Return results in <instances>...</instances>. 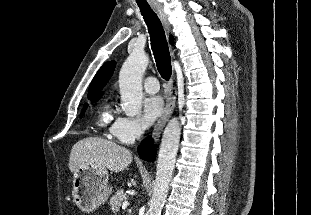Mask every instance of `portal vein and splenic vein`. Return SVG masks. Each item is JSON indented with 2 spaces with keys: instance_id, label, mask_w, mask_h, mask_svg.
<instances>
[{
  "instance_id": "18ae733b",
  "label": "portal vein and splenic vein",
  "mask_w": 311,
  "mask_h": 215,
  "mask_svg": "<svg viewBox=\"0 0 311 215\" xmlns=\"http://www.w3.org/2000/svg\"><path fill=\"white\" fill-rule=\"evenodd\" d=\"M127 206H128V202H127V201H125V202L123 203V205H122V209L127 208Z\"/></svg>"
}]
</instances>
